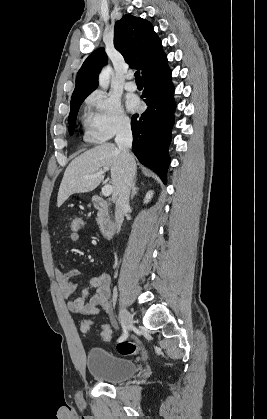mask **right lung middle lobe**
I'll return each mask as SVG.
<instances>
[{
  "label": "right lung middle lobe",
  "mask_w": 267,
  "mask_h": 419,
  "mask_svg": "<svg viewBox=\"0 0 267 419\" xmlns=\"http://www.w3.org/2000/svg\"><path fill=\"white\" fill-rule=\"evenodd\" d=\"M87 96L79 97V98H71V110L69 114V133L70 135L73 134L75 125H76V118L78 110Z\"/></svg>",
  "instance_id": "right-lung-middle-lobe-1"
}]
</instances>
